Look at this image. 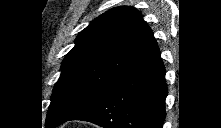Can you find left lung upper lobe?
Segmentation results:
<instances>
[{"label": "left lung upper lobe", "instance_id": "5c2ea615", "mask_svg": "<svg viewBox=\"0 0 221 128\" xmlns=\"http://www.w3.org/2000/svg\"><path fill=\"white\" fill-rule=\"evenodd\" d=\"M156 44L151 29L132 7H116L97 17L64 58L46 126L68 121L98 100Z\"/></svg>", "mask_w": 221, "mask_h": 128}]
</instances>
